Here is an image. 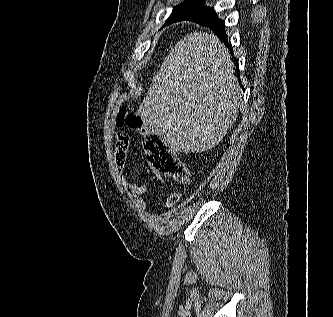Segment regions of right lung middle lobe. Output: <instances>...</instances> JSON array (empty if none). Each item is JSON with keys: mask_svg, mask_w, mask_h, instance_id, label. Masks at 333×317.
Segmentation results:
<instances>
[{"mask_svg": "<svg viewBox=\"0 0 333 317\" xmlns=\"http://www.w3.org/2000/svg\"><path fill=\"white\" fill-rule=\"evenodd\" d=\"M214 12V8L204 6L203 0H186L173 9L166 24L185 20L194 16L205 15Z\"/></svg>", "mask_w": 333, "mask_h": 317, "instance_id": "obj_1", "label": "right lung middle lobe"}]
</instances>
